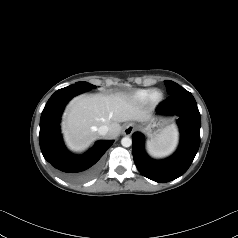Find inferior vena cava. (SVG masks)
Listing matches in <instances>:
<instances>
[{"label": "inferior vena cava", "instance_id": "1", "mask_svg": "<svg viewBox=\"0 0 238 238\" xmlns=\"http://www.w3.org/2000/svg\"><path fill=\"white\" fill-rule=\"evenodd\" d=\"M109 128L106 125H102L97 129L99 135L105 136L108 134Z\"/></svg>", "mask_w": 238, "mask_h": 238}]
</instances>
